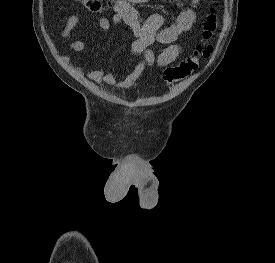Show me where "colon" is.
I'll return each instance as SVG.
<instances>
[{
  "label": "colon",
  "mask_w": 275,
  "mask_h": 263,
  "mask_svg": "<svg viewBox=\"0 0 275 263\" xmlns=\"http://www.w3.org/2000/svg\"><path fill=\"white\" fill-rule=\"evenodd\" d=\"M81 3L88 11L93 13H101L107 9L108 4L111 0H76ZM178 4H181V0H174ZM219 29V22L212 11L208 16L204 24L203 40L196 47V51L192 56H189L178 64L166 68L164 72V81L168 84L180 81L194 71H196L200 65V62L203 59H206L210 56L212 51L211 40L216 37V34Z\"/></svg>",
  "instance_id": "5ec220e1"
}]
</instances>
